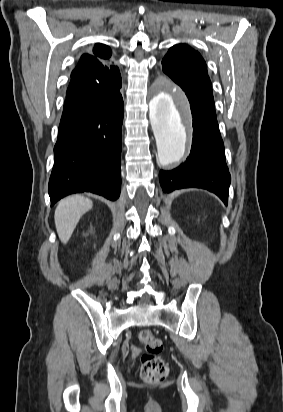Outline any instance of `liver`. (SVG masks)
Listing matches in <instances>:
<instances>
[{"mask_svg":"<svg viewBox=\"0 0 283 412\" xmlns=\"http://www.w3.org/2000/svg\"><path fill=\"white\" fill-rule=\"evenodd\" d=\"M92 201L83 196H71L61 200L55 210V226L62 243L66 244L80 218L92 208Z\"/></svg>","mask_w":283,"mask_h":412,"instance_id":"1","label":"liver"}]
</instances>
